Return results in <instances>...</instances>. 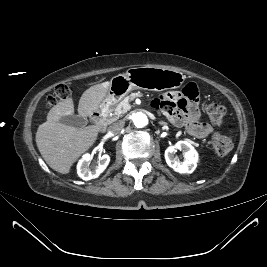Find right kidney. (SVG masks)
Listing matches in <instances>:
<instances>
[{
    "label": "right kidney",
    "instance_id": "right-kidney-1",
    "mask_svg": "<svg viewBox=\"0 0 267 267\" xmlns=\"http://www.w3.org/2000/svg\"><path fill=\"white\" fill-rule=\"evenodd\" d=\"M91 160L92 156L87 153L83 155L77 165V173L79 177L86 181L97 178L106 169L110 162V156L107 154L99 156L97 165H93L90 169L89 164Z\"/></svg>",
    "mask_w": 267,
    "mask_h": 267
}]
</instances>
